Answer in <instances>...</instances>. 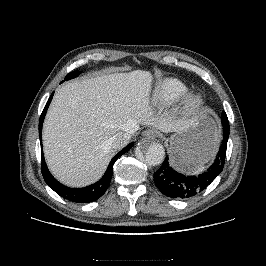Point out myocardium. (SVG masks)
Returning <instances> with one entry per match:
<instances>
[{"label": "myocardium", "mask_w": 266, "mask_h": 266, "mask_svg": "<svg viewBox=\"0 0 266 266\" xmlns=\"http://www.w3.org/2000/svg\"><path fill=\"white\" fill-rule=\"evenodd\" d=\"M203 97L195 92L184 93L178 102L179 108L184 112L192 114L199 111L204 106Z\"/></svg>", "instance_id": "myocardium-1"}]
</instances>
